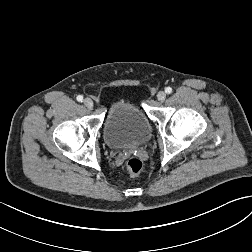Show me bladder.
<instances>
[{
  "label": "bladder",
  "mask_w": 252,
  "mask_h": 252,
  "mask_svg": "<svg viewBox=\"0 0 252 252\" xmlns=\"http://www.w3.org/2000/svg\"><path fill=\"white\" fill-rule=\"evenodd\" d=\"M103 133L110 149L121 150L148 142L152 129L137 105L129 100H118L107 109Z\"/></svg>",
  "instance_id": "bladder-1"
}]
</instances>
